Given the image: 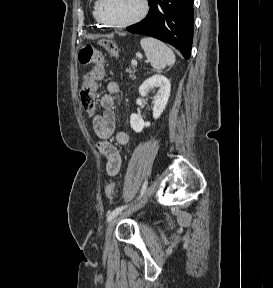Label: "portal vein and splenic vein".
I'll return each mask as SVG.
<instances>
[{"label": "portal vein and splenic vein", "instance_id": "1", "mask_svg": "<svg viewBox=\"0 0 273 288\" xmlns=\"http://www.w3.org/2000/svg\"><path fill=\"white\" fill-rule=\"evenodd\" d=\"M132 65H134V66L137 65V61L133 60Z\"/></svg>", "mask_w": 273, "mask_h": 288}]
</instances>
